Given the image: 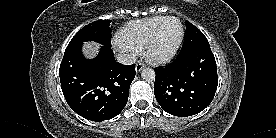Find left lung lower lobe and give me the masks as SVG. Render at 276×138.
I'll return each instance as SVG.
<instances>
[{"mask_svg": "<svg viewBox=\"0 0 276 138\" xmlns=\"http://www.w3.org/2000/svg\"><path fill=\"white\" fill-rule=\"evenodd\" d=\"M155 97L162 109L187 117L204 110L213 100L218 75L209 44L179 54L168 66L155 70Z\"/></svg>", "mask_w": 276, "mask_h": 138, "instance_id": "0a47b994", "label": "left lung lower lobe"}]
</instances>
